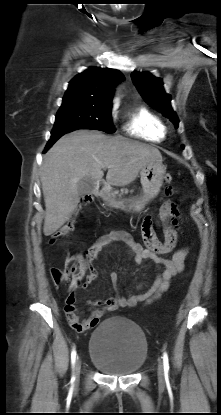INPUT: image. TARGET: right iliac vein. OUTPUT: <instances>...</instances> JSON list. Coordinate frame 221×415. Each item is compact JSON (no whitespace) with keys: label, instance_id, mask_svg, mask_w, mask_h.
<instances>
[{"label":"right iliac vein","instance_id":"right-iliac-vein-1","mask_svg":"<svg viewBox=\"0 0 221 415\" xmlns=\"http://www.w3.org/2000/svg\"><path fill=\"white\" fill-rule=\"evenodd\" d=\"M81 371V361L77 358L76 365H75V376L79 377Z\"/></svg>","mask_w":221,"mask_h":415}]
</instances>
